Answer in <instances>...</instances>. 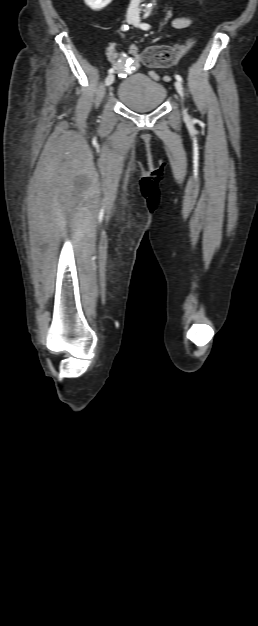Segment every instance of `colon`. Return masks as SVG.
<instances>
[{
	"instance_id": "5ec220e1",
	"label": "colon",
	"mask_w": 258,
	"mask_h": 626,
	"mask_svg": "<svg viewBox=\"0 0 258 626\" xmlns=\"http://www.w3.org/2000/svg\"><path fill=\"white\" fill-rule=\"evenodd\" d=\"M192 42L179 46H153L146 49L141 58L148 67L168 68L171 67L179 58L184 56L191 48ZM131 53L137 55L138 48L134 45L130 47Z\"/></svg>"
}]
</instances>
